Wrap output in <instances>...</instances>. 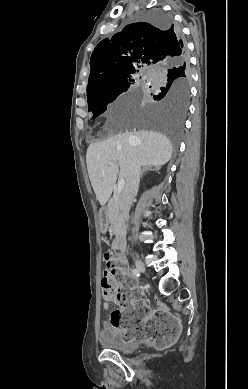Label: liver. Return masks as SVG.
<instances>
[{
    "mask_svg": "<svg viewBox=\"0 0 248 389\" xmlns=\"http://www.w3.org/2000/svg\"><path fill=\"white\" fill-rule=\"evenodd\" d=\"M172 156V145L155 131L125 132L89 145L86 163L96 198L103 206L110 198L117 179L127 178L134 158L141 165L162 166ZM113 163V165H110Z\"/></svg>",
    "mask_w": 248,
    "mask_h": 389,
    "instance_id": "obj_1",
    "label": "liver"
}]
</instances>
